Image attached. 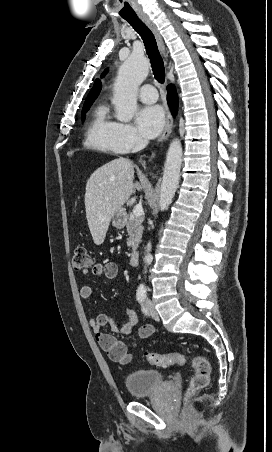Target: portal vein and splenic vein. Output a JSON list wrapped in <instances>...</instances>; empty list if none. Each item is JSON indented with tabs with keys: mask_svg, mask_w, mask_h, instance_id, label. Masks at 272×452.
I'll list each match as a JSON object with an SVG mask.
<instances>
[{
	"mask_svg": "<svg viewBox=\"0 0 272 452\" xmlns=\"http://www.w3.org/2000/svg\"><path fill=\"white\" fill-rule=\"evenodd\" d=\"M133 215L139 217L143 215V207L140 204H137L133 208Z\"/></svg>",
	"mask_w": 272,
	"mask_h": 452,
	"instance_id": "1",
	"label": "portal vein and splenic vein"
}]
</instances>
